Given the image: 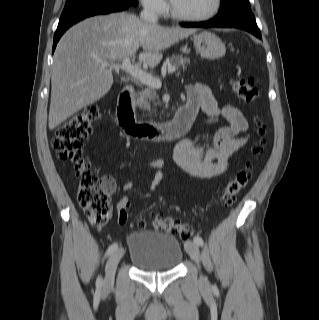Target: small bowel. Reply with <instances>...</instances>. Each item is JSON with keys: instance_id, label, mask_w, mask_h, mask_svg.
Wrapping results in <instances>:
<instances>
[{"instance_id": "c3829d8e", "label": "small bowel", "mask_w": 319, "mask_h": 320, "mask_svg": "<svg viewBox=\"0 0 319 320\" xmlns=\"http://www.w3.org/2000/svg\"><path fill=\"white\" fill-rule=\"evenodd\" d=\"M185 105L196 113L202 110L210 117H223L229 124L215 132L212 146L208 149H203L189 139L180 140L173 150L174 161L192 177L201 179L218 177L226 171L232 154L247 143L248 122L238 107L234 105L219 107L211 89L204 84H195L188 88ZM146 166L159 169L151 187L152 190H156L161 183L166 165L155 160L148 162ZM133 186L132 181H124L121 189L127 192ZM128 207L129 201L123 197L117 203V212L122 210L127 212Z\"/></svg>"}]
</instances>
